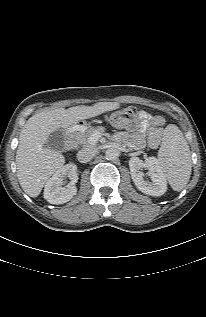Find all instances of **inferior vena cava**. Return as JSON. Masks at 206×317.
<instances>
[{
    "label": "inferior vena cava",
    "instance_id": "obj_1",
    "mask_svg": "<svg viewBox=\"0 0 206 317\" xmlns=\"http://www.w3.org/2000/svg\"><path fill=\"white\" fill-rule=\"evenodd\" d=\"M96 151L92 148H83L77 153V159L81 163L89 162L94 156Z\"/></svg>",
    "mask_w": 206,
    "mask_h": 317
}]
</instances>
